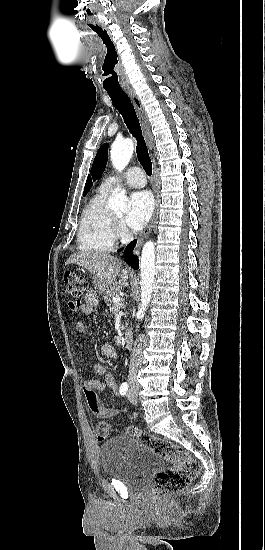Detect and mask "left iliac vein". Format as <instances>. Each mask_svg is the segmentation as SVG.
Here are the masks:
<instances>
[{
	"label": "left iliac vein",
	"instance_id": "1",
	"mask_svg": "<svg viewBox=\"0 0 265 550\" xmlns=\"http://www.w3.org/2000/svg\"><path fill=\"white\" fill-rule=\"evenodd\" d=\"M128 400L133 403V404H136L137 403V397L135 394H132L131 391L128 392Z\"/></svg>",
	"mask_w": 265,
	"mask_h": 550
}]
</instances>
